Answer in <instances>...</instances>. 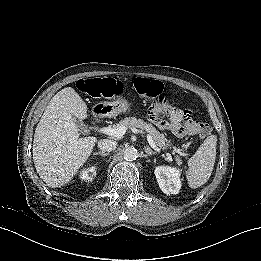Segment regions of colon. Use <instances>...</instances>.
<instances>
[{
	"instance_id": "colon-1",
	"label": "colon",
	"mask_w": 261,
	"mask_h": 261,
	"mask_svg": "<svg viewBox=\"0 0 261 261\" xmlns=\"http://www.w3.org/2000/svg\"><path fill=\"white\" fill-rule=\"evenodd\" d=\"M136 91L148 98H152L153 104L150 108V112L153 116L158 117L161 120L163 115L169 118L171 130L177 136H183L188 133V127L182 124L184 119H189V110H179L173 104H171L166 98L162 97L163 85L160 81L137 77L133 80ZM76 87L81 92L91 97H112L117 95L121 91V83L112 78H90L81 79L76 82ZM202 134L209 133V126L206 123L197 121L194 123Z\"/></svg>"
}]
</instances>
